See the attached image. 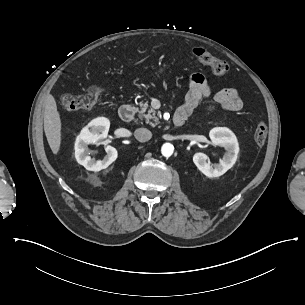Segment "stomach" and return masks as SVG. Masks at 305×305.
Returning <instances> with one entry per match:
<instances>
[{"mask_svg": "<svg viewBox=\"0 0 305 305\" xmlns=\"http://www.w3.org/2000/svg\"><path fill=\"white\" fill-rule=\"evenodd\" d=\"M167 71V65H159L156 67L155 75L161 76Z\"/></svg>", "mask_w": 305, "mask_h": 305, "instance_id": "stomach-1", "label": "stomach"}]
</instances>
